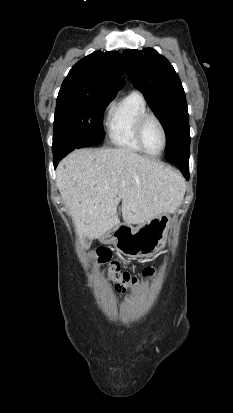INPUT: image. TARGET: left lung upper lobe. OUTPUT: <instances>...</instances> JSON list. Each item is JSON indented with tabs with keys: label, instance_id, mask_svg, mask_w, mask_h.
<instances>
[{
	"label": "left lung upper lobe",
	"instance_id": "1",
	"mask_svg": "<svg viewBox=\"0 0 233 413\" xmlns=\"http://www.w3.org/2000/svg\"><path fill=\"white\" fill-rule=\"evenodd\" d=\"M128 76L140 90L164 126L167 136L165 158L189 161L190 131L185 92L169 61L146 48L123 53Z\"/></svg>",
	"mask_w": 233,
	"mask_h": 413
}]
</instances>
